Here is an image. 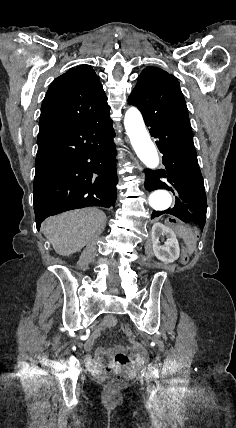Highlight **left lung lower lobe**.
Returning <instances> with one entry per match:
<instances>
[{"instance_id": "1", "label": "left lung lower lobe", "mask_w": 236, "mask_h": 428, "mask_svg": "<svg viewBox=\"0 0 236 428\" xmlns=\"http://www.w3.org/2000/svg\"><path fill=\"white\" fill-rule=\"evenodd\" d=\"M151 136L163 156L165 170H146L145 188L148 191L166 189L176 195L173 208L153 211L151 219L164 213L185 223H195L203 230L207 200L203 177L198 165L192 131L167 120L144 119Z\"/></svg>"}]
</instances>
